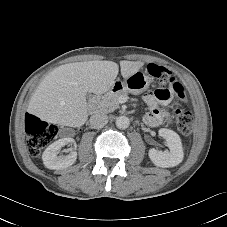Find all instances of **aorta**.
<instances>
[{
  "label": "aorta",
  "instance_id": "762f6f07",
  "mask_svg": "<svg viewBox=\"0 0 227 227\" xmlns=\"http://www.w3.org/2000/svg\"><path fill=\"white\" fill-rule=\"evenodd\" d=\"M115 124L119 129H126L130 125V120L126 116H119L116 118Z\"/></svg>",
  "mask_w": 227,
  "mask_h": 227
}]
</instances>
